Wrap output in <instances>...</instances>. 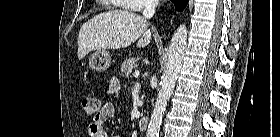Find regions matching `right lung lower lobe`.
<instances>
[{
    "label": "right lung lower lobe",
    "instance_id": "obj_1",
    "mask_svg": "<svg viewBox=\"0 0 280 137\" xmlns=\"http://www.w3.org/2000/svg\"><path fill=\"white\" fill-rule=\"evenodd\" d=\"M188 1L189 0H172V2L175 5V8L179 11H182L186 7Z\"/></svg>",
    "mask_w": 280,
    "mask_h": 137
}]
</instances>
